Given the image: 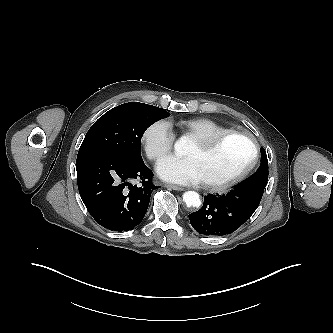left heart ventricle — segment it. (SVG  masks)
<instances>
[{"label": "left heart ventricle", "mask_w": 333, "mask_h": 333, "mask_svg": "<svg viewBox=\"0 0 333 333\" xmlns=\"http://www.w3.org/2000/svg\"><path fill=\"white\" fill-rule=\"evenodd\" d=\"M185 155L196 162L203 182H219L233 176L248 163L251 149L244 139L231 137L211 151H203L192 142Z\"/></svg>", "instance_id": "1"}]
</instances>
